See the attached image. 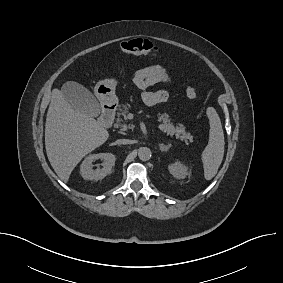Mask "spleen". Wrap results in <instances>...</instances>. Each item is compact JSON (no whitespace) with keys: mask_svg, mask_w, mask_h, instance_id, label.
I'll return each mask as SVG.
<instances>
[{"mask_svg":"<svg viewBox=\"0 0 283 283\" xmlns=\"http://www.w3.org/2000/svg\"><path fill=\"white\" fill-rule=\"evenodd\" d=\"M209 119V141L202 153L204 177L211 180L219 169L224 156V133L219 115L213 107L207 109Z\"/></svg>","mask_w":283,"mask_h":283,"instance_id":"1","label":"spleen"}]
</instances>
